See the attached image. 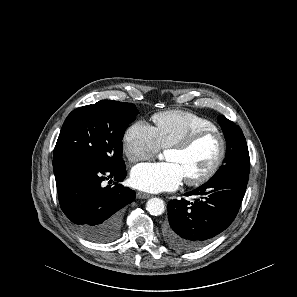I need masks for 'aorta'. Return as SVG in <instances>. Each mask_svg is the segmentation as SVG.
<instances>
[{"label": "aorta", "mask_w": 297, "mask_h": 297, "mask_svg": "<svg viewBox=\"0 0 297 297\" xmlns=\"http://www.w3.org/2000/svg\"><path fill=\"white\" fill-rule=\"evenodd\" d=\"M146 210L153 216H159L164 213V201L160 198H151L146 203Z\"/></svg>", "instance_id": "obj_1"}]
</instances>
